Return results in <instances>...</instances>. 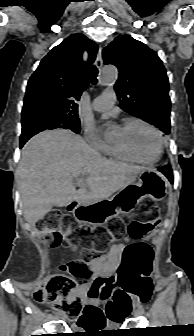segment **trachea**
<instances>
[{
  "instance_id": "1",
  "label": "trachea",
  "mask_w": 194,
  "mask_h": 336,
  "mask_svg": "<svg viewBox=\"0 0 194 336\" xmlns=\"http://www.w3.org/2000/svg\"><path fill=\"white\" fill-rule=\"evenodd\" d=\"M97 75H98V69L96 68L95 65H92L89 69H88V77L90 82L95 85L97 83Z\"/></svg>"
}]
</instances>
